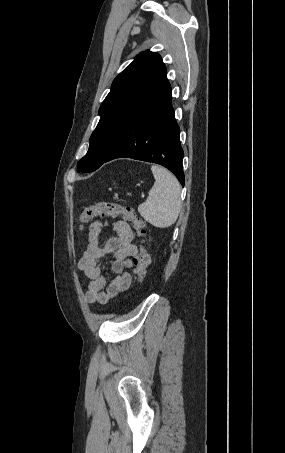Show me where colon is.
<instances>
[{"label": "colon", "instance_id": "1", "mask_svg": "<svg viewBox=\"0 0 285 453\" xmlns=\"http://www.w3.org/2000/svg\"><path fill=\"white\" fill-rule=\"evenodd\" d=\"M97 216L122 217L132 223L137 236L140 240V251L134 257L133 279L137 284L144 281L147 275V269L150 264V255L144 246V237L146 235L145 223L136 216L130 206H123L116 202L100 201L92 206L86 207L80 214V225L84 226Z\"/></svg>", "mask_w": 285, "mask_h": 453}]
</instances>
